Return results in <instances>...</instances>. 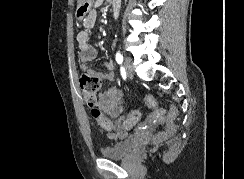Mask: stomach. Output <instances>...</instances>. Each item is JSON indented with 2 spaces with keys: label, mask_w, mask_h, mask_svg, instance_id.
<instances>
[{
  "label": "stomach",
  "mask_w": 244,
  "mask_h": 179,
  "mask_svg": "<svg viewBox=\"0 0 244 179\" xmlns=\"http://www.w3.org/2000/svg\"><path fill=\"white\" fill-rule=\"evenodd\" d=\"M91 6L92 0H80V4H78L76 10V18H78V20H83L84 16L88 14Z\"/></svg>",
  "instance_id": "1"
}]
</instances>
